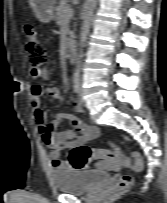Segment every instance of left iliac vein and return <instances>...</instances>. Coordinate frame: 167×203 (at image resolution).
Segmentation results:
<instances>
[{"instance_id":"left-iliac-vein-1","label":"left iliac vein","mask_w":167,"mask_h":203,"mask_svg":"<svg viewBox=\"0 0 167 203\" xmlns=\"http://www.w3.org/2000/svg\"><path fill=\"white\" fill-rule=\"evenodd\" d=\"M79 97H80V104L81 105H85L86 104V102H85V100L83 99V93H82V88L80 87L79 88Z\"/></svg>"}]
</instances>
